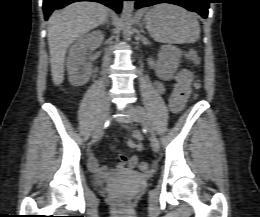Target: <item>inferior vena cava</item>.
Returning a JSON list of instances; mask_svg holds the SVG:
<instances>
[{"mask_svg": "<svg viewBox=\"0 0 260 217\" xmlns=\"http://www.w3.org/2000/svg\"><path fill=\"white\" fill-rule=\"evenodd\" d=\"M109 55H110V54H108V55H106V56L104 57V60H103V67H104V68H107L108 65L110 64V57H109Z\"/></svg>", "mask_w": 260, "mask_h": 217, "instance_id": "1", "label": "inferior vena cava"}]
</instances>
